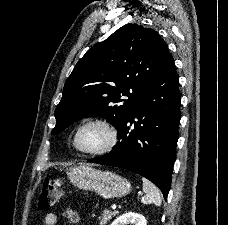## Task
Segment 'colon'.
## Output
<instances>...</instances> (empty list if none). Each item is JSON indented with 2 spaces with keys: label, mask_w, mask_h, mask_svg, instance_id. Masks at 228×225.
<instances>
[{
  "label": "colon",
  "mask_w": 228,
  "mask_h": 225,
  "mask_svg": "<svg viewBox=\"0 0 228 225\" xmlns=\"http://www.w3.org/2000/svg\"><path fill=\"white\" fill-rule=\"evenodd\" d=\"M62 182L59 179H44L43 189L38 196L37 203L42 209L58 203L62 197Z\"/></svg>",
  "instance_id": "colon-1"
}]
</instances>
